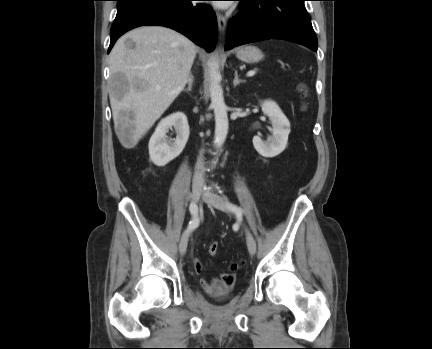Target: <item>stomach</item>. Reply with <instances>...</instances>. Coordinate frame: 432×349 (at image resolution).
<instances>
[{
    "instance_id": "stomach-1",
    "label": "stomach",
    "mask_w": 432,
    "mask_h": 349,
    "mask_svg": "<svg viewBox=\"0 0 432 349\" xmlns=\"http://www.w3.org/2000/svg\"><path fill=\"white\" fill-rule=\"evenodd\" d=\"M236 57L249 64L258 63L264 58L262 51L255 46H242L235 50Z\"/></svg>"
}]
</instances>
